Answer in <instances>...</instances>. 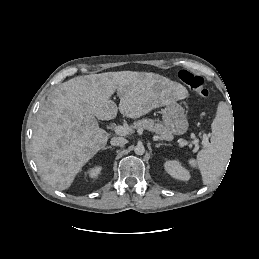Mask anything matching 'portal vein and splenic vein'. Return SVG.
Wrapping results in <instances>:
<instances>
[{
  "label": "portal vein and splenic vein",
  "instance_id": "portal-vein-and-splenic-vein-1",
  "mask_svg": "<svg viewBox=\"0 0 259 259\" xmlns=\"http://www.w3.org/2000/svg\"><path fill=\"white\" fill-rule=\"evenodd\" d=\"M114 131L117 135H120V136H125V135L128 134V128L124 127V126H121V125L115 126ZM192 143L197 145L199 143V139L196 138V137H193ZM202 145L203 146L209 145V141H208V138L206 136L203 137Z\"/></svg>",
  "mask_w": 259,
  "mask_h": 259
}]
</instances>
